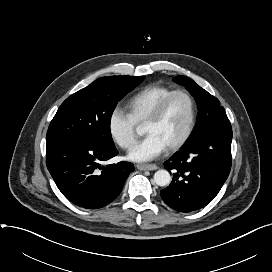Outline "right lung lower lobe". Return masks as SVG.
Masks as SVG:
<instances>
[{
	"label": "right lung lower lobe",
	"instance_id": "1",
	"mask_svg": "<svg viewBox=\"0 0 272 272\" xmlns=\"http://www.w3.org/2000/svg\"><path fill=\"white\" fill-rule=\"evenodd\" d=\"M118 154L92 139L63 141L47 147L46 165L61 193L77 206L97 209L121 192L134 166L119 162L102 166Z\"/></svg>",
	"mask_w": 272,
	"mask_h": 272
}]
</instances>
